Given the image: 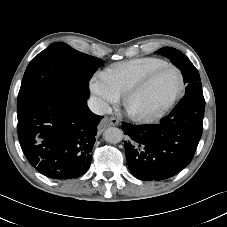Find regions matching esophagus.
Listing matches in <instances>:
<instances>
[{
    "mask_svg": "<svg viewBox=\"0 0 227 227\" xmlns=\"http://www.w3.org/2000/svg\"><path fill=\"white\" fill-rule=\"evenodd\" d=\"M108 122H109L110 125H113V126H116V125H118V123H119L118 119L115 118V117H110V118L108 119Z\"/></svg>",
    "mask_w": 227,
    "mask_h": 227,
    "instance_id": "34e87169",
    "label": "esophagus"
}]
</instances>
